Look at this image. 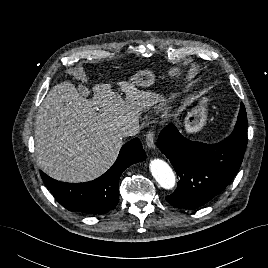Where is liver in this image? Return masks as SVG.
Wrapping results in <instances>:
<instances>
[{
	"label": "liver",
	"mask_w": 268,
	"mask_h": 268,
	"mask_svg": "<svg viewBox=\"0 0 268 268\" xmlns=\"http://www.w3.org/2000/svg\"><path fill=\"white\" fill-rule=\"evenodd\" d=\"M119 85L125 99L110 83L98 84L92 100L70 82L49 91L35 119V154L43 172L59 181L80 183L112 166L123 145L124 127L138 124L139 113L157 98L129 82Z\"/></svg>",
	"instance_id": "obj_1"
}]
</instances>
